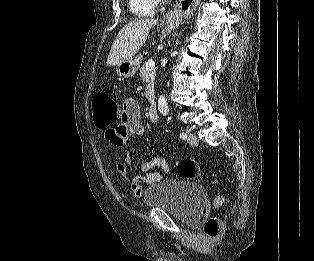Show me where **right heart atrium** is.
<instances>
[{"mask_svg": "<svg viewBox=\"0 0 314 261\" xmlns=\"http://www.w3.org/2000/svg\"><path fill=\"white\" fill-rule=\"evenodd\" d=\"M155 2H156V4H158V2L160 1V0H154Z\"/></svg>", "mask_w": 314, "mask_h": 261, "instance_id": "right-heart-atrium-1", "label": "right heart atrium"}]
</instances>
